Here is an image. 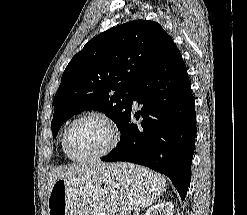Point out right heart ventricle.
I'll return each instance as SVG.
<instances>
[{
  "mask_svg": "<svg viewBox=\"0 0 247 215\" xmlns=\"http://www.w3.org/2000/svg\"><path fill=\"white\" fill-rule=\"evenodd\" d=\"M64 133H65V129L63 130V132L61 134L60 145H61L62 152L64 153L65 156L68 157V155H67V153L65 151V148H64Z\"/></svg>",
  "mask_w": 247,
  "mask_h": 215,
  "instance_id": "e07e8e85",
  "label": "right heart ventricle"
}]
</instances>
